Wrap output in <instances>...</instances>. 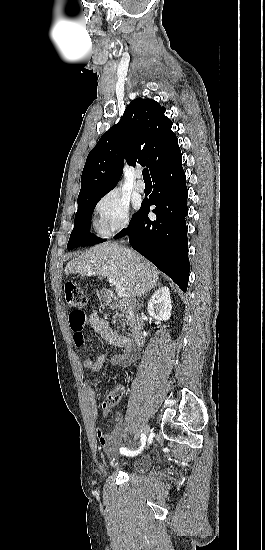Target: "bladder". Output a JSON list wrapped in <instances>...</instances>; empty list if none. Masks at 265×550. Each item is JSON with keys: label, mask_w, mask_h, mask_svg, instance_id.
<instances>
[{"label": "bladder", "mask_w": 265, "mask_h": 550, "mask_svg": "<svg viewBox=\"0 0 265 550\" xmlns=\"http://www.w3.org/2000/svg\"><path fill=\"white\" fill-rule=\"evenodd\" d=\"M152 461L147 454H142L131 462V468L138 472H144L150 469Z\"/></svg>", "instance_id": "31cf9c89"}]
</instances>
